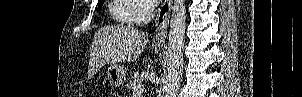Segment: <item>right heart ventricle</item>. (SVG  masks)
I'll list each match as a JSON object with an SVG mask.
<instances>
[{"label":"right heart ventricle","mask_w":302,"mask_h":97,"mask_svg":"<svg viewBox=\"0 0 302 97\" xmlns=\"http://www.w3.org/2000/svg\"><path fill=\"white\" fill-rule=\"evenodd\" d=\"M137 6L135 0H112L110 1L109 12L117 24L133 26L136 24Z\"/></svg>","instance_id":"right-heart-ventricle-1"}]
</instances>
